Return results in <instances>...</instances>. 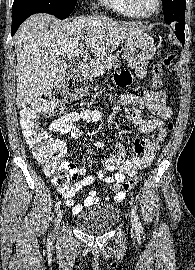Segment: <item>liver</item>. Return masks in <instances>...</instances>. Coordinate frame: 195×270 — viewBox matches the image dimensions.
I'll return each mask as SVG.
<instances>
[{
  "instance_id": "obj_1",
  "label": "liver",
  "mask_w": 195,
  "mask_h": 270,
  "mask_svg": "<svg viewBox=\"0 0 195 270\" xmlns=\"http://www.w3.org/2000/svg\"><path fill=\"white\" fill-rule=\"evenodd\" d=\"M144 33L130 23H118L106 16H90L60 22L48 14L28 18L15 34L17 55L16 105L23 108L65 80V50L87 46L99 56L115 51L129 37Z\"/></svg>"
}]
</instances>
